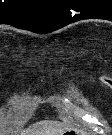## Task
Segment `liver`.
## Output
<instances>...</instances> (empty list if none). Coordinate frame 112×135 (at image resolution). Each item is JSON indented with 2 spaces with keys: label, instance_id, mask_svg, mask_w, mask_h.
Returning a JSON list of instances; mask_svg holds the SVG:
<instances>
[{
  "label": "liver",
  "instance_id": "1",
  "mask_svg": "<svg viewBox=\"0 0 112 135\" xmlns=\"http://www.w3.org/2000/svg\"><path fill=\"white\" fill-rule=\"evenodd\" d=\"M41 126H44L45 128H47L48 131H42L40 132V134H36L37 132L34 131H29L26 132V135H58V134H62L64 131L63 130H59L57 131V124L52 123V122H42L40 123Z\"/></svg>",
  "mask_w": 112,
  "mask_h": 135
}]
</instances>
